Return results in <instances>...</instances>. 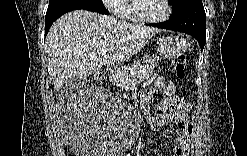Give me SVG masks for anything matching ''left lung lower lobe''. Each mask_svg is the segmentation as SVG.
Segmentation results:
<instances>
[{"label": "left lung lower lobe", "mask_w": 247, "mask_h": 156, "mask_svg": "<svg viewBox=\"0 0 247 156\" xmlns=\"http://www.w3.org/2000/svg\"><path fill=\"white\" fill-rule=\"evenodd\" d=\"M206 14L202 1L192 4L183 14L170 17L168 21L147 24L161 29L183 32L193 36L199 43L201 51L205 45Z\"/></svg>", "instance_id": "left-lung-lower-lobe-1"}]
</instances>
